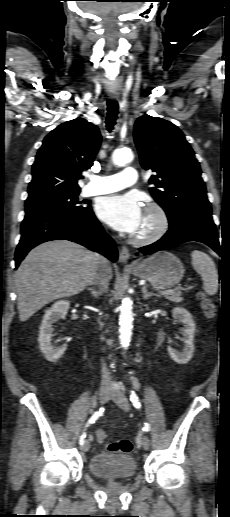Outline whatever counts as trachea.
Returning a JSON list of instances; mask_svg holds the SVG:
<instances>
[{
	"label": "trachea",
	"mask_w": 230,
	"mask_h": 517,
	"mask_svg": "<svg viewBox=\"0 0 230 517\" xmlns=\"http://www.w3.org/2000/svg\"><path fill=\"white\" fill-rule=\"evenodd\" d=\"M118 108L119 106L116 100L107 101L106 127L109 132L113 130L116 123Z\"/></svg>",
	"instance_id": "1"
}]
</instances>
